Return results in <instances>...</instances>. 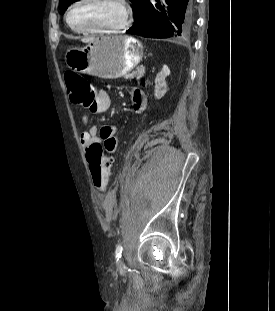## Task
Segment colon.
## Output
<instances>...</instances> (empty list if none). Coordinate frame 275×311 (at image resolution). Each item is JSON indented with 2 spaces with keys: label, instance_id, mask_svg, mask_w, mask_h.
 Returning a JSON list of instances; mask_svg holds the SVG:
<instances>
[{
  "label": "colon",
  "instance_id": "colon-1",
  "mask_svg": "<svg viewBox=\"0 0 275 311\" xmlns=\"http://www.w3.org/2000/svg\"><path fill=\"white\" fill-rule=\"evenodd\" d=\"M69 99L75 105L87 106L95 99L94 88L89 81L73 72L65 74ZM90 174L94 187L103 191L108 184L112 159L103 152L99 143H93L87 151Z\"/></svg>",
  "mask_w": 275,
  "mask_h": 311
}]
</instances>
